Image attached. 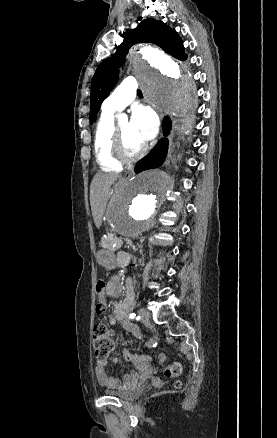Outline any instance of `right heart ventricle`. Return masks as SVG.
I'll list each match as a JSON object with an SVG mask.
<instances>
[{"label":"right heart ventricle","instance_id":"right-heart-ventricle-1","mask_svg":"<svg viewBox=\"0 0 277 438\" xmlns=\"http://www.w3.org/2000/svg\"><path fill=\"white\" fill-rule=\"evenodd\" d=\"M110 66L115 67L116 65ZM113 128V115H107L103 112L95 132V154L102 170L118 173L122 170V164L114 158L110 147Z\"/></svg>","mask_w":277,"mask_h":438}]
</instances>
